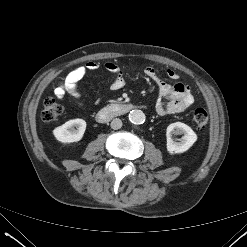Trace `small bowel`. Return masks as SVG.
I'll use <instances>...</instances> for the list:
<instances>
[{"mask_svg":"<svg viewBox=\"0 0 247 247\" xmlns=\"http://www.w3.org/2000/svg\"><path fill=\"white\" fill-rule=\"evenodd\" d=\"M99 68V64L95 61L87 62L85 65L73 69L58 85L54 94L62 99L68 95L71 102L78 107L82 106L81 93L78 88L79 81L89 71H94ZM106 70L114 75V79L110 85L112 91H118L125 86V80L121 68L112 62L105 64ZM144 74L152 80L158 88V99L156 101V111L160 115H169L184 112L193 103L194 97L191 89L184 83L177 82L170 84L164 81L158 74L157 70L148 66L144 69ZM167 75L171 80H177L178 74L172 70H167Z\"/></svg>","mask_w":247,"mask_h":247,"instance_id":"obj_1","label":"small bowel"}]
</instances>
